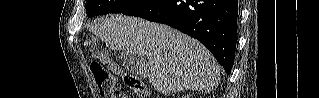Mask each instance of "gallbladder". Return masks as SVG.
Masks as SVG:
<instances>
[{"mask_svg":"<svg viewBox=\"0 0 319 98\" xmlns=\"http://www.w3.org/2000/svg\"><path fill=\"white\" fill-rule=\"evenodd\" d=\"M118 60L126 70L132 73H138L140 71V62L131 53L122 51L118 56Z\"/></svg>","mask_w":319,"mask_h":98,"instance_id":"1","label":"gallbladder"}]
</instances>
